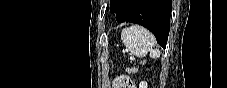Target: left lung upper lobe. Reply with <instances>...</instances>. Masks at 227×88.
Returning a JSON list of instances; mask_svg holds the SVG:
<instances>
[{
	"label": "left lung upper lobe",
	"mask_w": 227,
	"mask_h": 88,
	"mask_svg": "<svg viewBox=\"0 0 227 88\" xmlns=\"http://www.w3.org/2000/svg\"><path fill=\"white\" fill-rule=\"evenodd\" d=\"M118 1L119 0H111L110 1V12H112V13L116 12Z\"/></svg>",
	"instance_id": "left-lung-upper-lobe-1"
}]
</instances>
